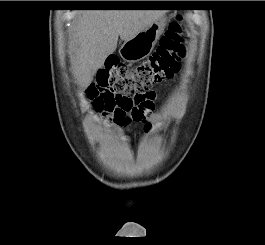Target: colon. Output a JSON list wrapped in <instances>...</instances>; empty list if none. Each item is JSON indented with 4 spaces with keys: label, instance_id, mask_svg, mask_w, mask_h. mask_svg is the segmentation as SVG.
Instances as JSON below:
<instances>
[{
    "label": "colon",
    "instance_id": "colon-1",
    "mask_svg": "<svg viewBox=\"0 0 265 245\" xmlns=\"http://www.w3.org/2000/svg\"><path fill=\"white\" fill-rule=\"evenodd\" d=\"M185 56L180 19L171 22L161 37L159 46L147 59L136 65H125L110 58L96 75L99 96L94 100L96 110L111 121L129 122L142 116L146 106L153 104L154 87L172 79Z\"/></svg>",
    "mask_w": 265,
    "mask_h": 245
}]
</instances>
